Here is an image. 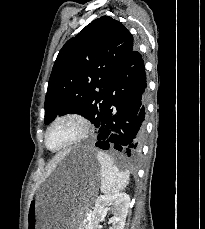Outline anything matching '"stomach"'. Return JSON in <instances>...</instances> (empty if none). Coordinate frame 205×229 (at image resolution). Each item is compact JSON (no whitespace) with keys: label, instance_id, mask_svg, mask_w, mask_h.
Segmentation results:
<instances>
[{"label":"stomach","instance_id":"0dacf381","mask_svg":"<svg viewBox=\"0 0 205 229\" xmlns=\"http://www.w3.org/2000/svg\"><path fill=\"white\" fill-rule=\"evenodd\" d=\"M66 157L77 164L73 173L80 177V196L74 200L63 194L37 196L29 204L26 229H83L82 219L94 196L101 167L90 148L74 147Z\"/></svg>","mask_w":205,"mask_h":229}]
</instances>
